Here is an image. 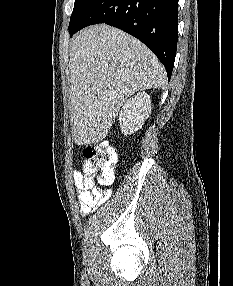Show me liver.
<instances>
[{"mask_svg": "<svg viewBox=\"0 0 233 286\" xmlns=\"http://www.w3.org/2000/svg\"><path fill=\"white\" fill-rule=\"evenodd\" d=\"M69 70L72 135L78 145L103 140L128 97L166 83L164 67L143 43L105 24L74 36Z\"/></svg>", "mask_w": 233, "mask_h": 286, "instance_id": "liver-1", "label": "liver"}]
</instances>
